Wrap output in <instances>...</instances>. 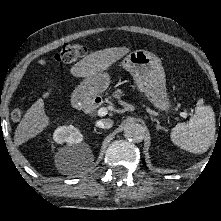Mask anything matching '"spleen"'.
<instances>
[{"mask_svg":"<svg viewBox=\"0 0 221 221\" xmlns=\"http://www.w3.org/2000/svg\"><path fill=\"white\" fill-rule=\"evenodd\" d=\"M215 114L211 106L203 105L200 99L195 108V115L189 123H178L171 130L172 142L191 153L206 152L215 138Z\"/></svg>","mask_w":221,"mask_h":221,"instance_id":"1","label":"spleen"}]
</instances>
